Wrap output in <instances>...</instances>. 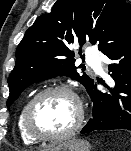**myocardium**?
I'll return each instance as SVG.
<instances>
[{
  "label": "myocardium",
  "mask_w": 131,
  "mask_h": 151,
  "mask_svg": "<svg viewBox=\"0 0 131 151\" xmlns=\"http://www.w3.org/2000/svg\"><path fill=\"white\" fill-rule=\"evenodd\" d=\"M62 93L68 96L75 104L76 117L73 124L64 132L57 135H41L34 131L31 125V115L36 103L46 95ZM84 120V107L80 97L66 85L48 86L37 92L27 103L23 113V126L27 135L37 142H59L73 135L82 125Z\"/></svg>",
  "instance_id": "obj_1"
}]
</instances>
